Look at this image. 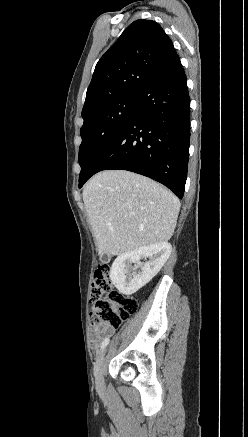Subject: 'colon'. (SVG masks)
<instances>
[{
	"mask_svg": "<svg viewBox=\"0 0 248 437\" xmlns=\"http://www.w3.org/2000/svg\"><path fill=\"white\" fill-rule=\"evenodd\" d=\"M137 301L117 292L113 286L108 264H99L90 289V323L94 327L108 325L117 328L136 312Z\"/></svg>",
	"mask_w": 248,
	"mask_h": 437,
	"instance_id": "1",
	"label": "colon"
}]
</instances>
